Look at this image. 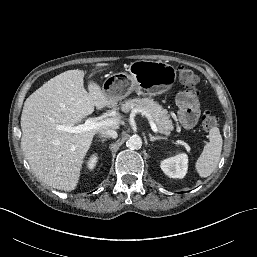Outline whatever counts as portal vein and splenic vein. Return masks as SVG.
<instances>
[{"mask_svg":"<svg viewBox=\"0 0 257 257\" xmlns=\"http://www.w3.org/2000/svg\"><path fill=\"white\" fill-rule=\"evenodd\" d=\"M148 120H149V124H150L153 132L157 133L158 128H157L155 122L151 118H149ZM116 122H117L116 119H106V120L97 122L95 118H88V119H86L84 124H80L77 126L58 125L56 127V129L65 131V132H69V133H80V132H85V131H89V130H97L101 126L112 125V124H115Z\"/></svg>","mask_w":257,"mask_h":257,"instance_id":"obj_1","label":"portal vein and splenic vein"}]
</instances>
